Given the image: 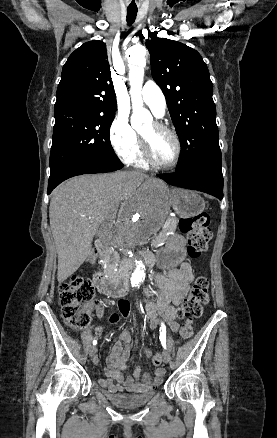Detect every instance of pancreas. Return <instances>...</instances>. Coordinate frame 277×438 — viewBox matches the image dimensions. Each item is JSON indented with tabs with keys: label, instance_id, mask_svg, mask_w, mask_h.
I'll list each match as a JSON object with an SVG mask.
<instances>
[{
	"label": "pancreas",
	"instance_id": "1",
	"mask_svg": "<svg viewBox=\"0 0 277 438\" xmlns=\"http://www.w3.org/2000/svg\"><path fill=\"white\" fill-rule=\"evenodd\" d=\"M167 230H168V232L173 233V232H175L176 227H175V225L170 224V225H168L167 229L166 228H159L158 232H157L158 235H153L152 239H150L147 242V245L150 248H154L157 244H162L163 237L165 238L167 236V233H168ZM109 256L111 258H107L105 261V264L107 267H114L116 264L115 259L112 258L114 255L111 253Z\"/></svg>",
	"mask_w": 277,
	"mask_h": 438
}]
</instances>
